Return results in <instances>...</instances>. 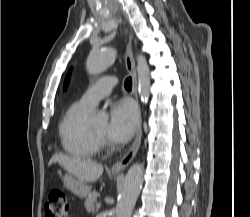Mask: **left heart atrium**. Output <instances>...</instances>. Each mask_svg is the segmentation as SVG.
<instances>
[{"label": "left heart atrium", "instance_id": "1", "mask_svg": "<svg viewBox=\"0 0 250 217\" xmlns=\"http://www.w3.org/2000/svg\"><path fill=\"white\" fill-rule=\"evenodd\" d=\"M138 124L136 106L130 100H119L111 106L107 135L113 142L125 143L136 132Z\"/></svg>", "mask_w": 250, "mask_h": 217}]
</instances>
